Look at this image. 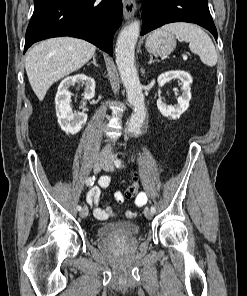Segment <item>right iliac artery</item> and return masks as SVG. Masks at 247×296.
I'll return each mask as SVG.
<instances>
[{
    "instance_id": "1",
    "label": "right iliac artery",
    "mask_w": 247,
    "mask_h": 296,
    "mask_svg": "<svg viewBox=\"0 0 247 296\" xmlns=\"http://www.w3.org/2000/svg\"><path fill=\"white\" fill-rule=\"evenodd\" d=\"M96 178L95 176H91L86 180V185L87 186H92L95 182ZM82 207L80 205L77 206V210L81 211Z\"/></svg>"
}]
</instances>
